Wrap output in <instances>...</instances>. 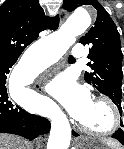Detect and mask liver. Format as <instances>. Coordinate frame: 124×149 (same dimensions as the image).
Wrapping results in <instances>:
<instances>
[{
  "mask_svg": "<svg viewBox=\"0 0 124 149\" xmlns=\"http://www.w3.org/2000/svg\"><path fill=\"white\" fill-rule=\"evenodd\" d=\"M25 144L20 137L0 134V149H25Z\"/></svg>",
  "mask_w": 124,
  "mask_h": 149,
  "instance_id": "liver-1",
  "label": "liver"
}]
</instances>
